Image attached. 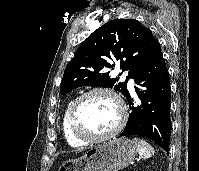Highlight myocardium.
Here are the masks:
<instances>
[{"label": "myocardium", "instance_id": "myocardium-1", "mask_svg": "<svg viewBox=\"0 0 199 171\" xmlns=\"http://www.w3.org/2000/svg\"><path fill=\"white\" fill-rule=\"evenodd\" d=\"M94 94H105L112 97L113 100L116 102L119 109L120 116H119V121L117 125L111 131L103 135H91L85 132L79 126V122H78V114H79L81 103L86 98ZM127 119H128V110L123 98L116 91L107 87H95V88L86 90L85 92L80 94L77 98H75V100L71 103L70 110H69V126H70L72 134L81 140H84L86 142H92V143L102 142L118 135L124 128L127 122Z\"/></svg>", "mask_w": 199, "mask_h": 171}]
</instances>
